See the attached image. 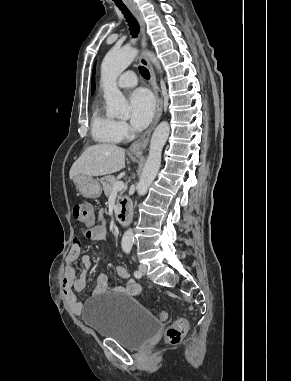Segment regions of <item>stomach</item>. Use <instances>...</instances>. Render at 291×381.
<instances>
[{
    "mask_svg": "<svg viewBox=\"0 0 291 381\" xmlns=\"http://www.w3.org/2000/svg\"><path fill=\"white\" fill-rule=\"evenodd\" d=\"M76 188L85 198H98L102 189L98 180L87 175H77L73 178Z\"/></svg>",
    "mask_w": 291,
    "mask_h": 381,
    "instance_id": "stomach-1",
    "label": "stomach"
}]
</instances>
